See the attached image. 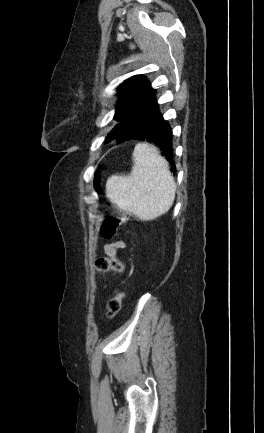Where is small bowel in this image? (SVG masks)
<instances>
[{"label":"small bowel","mask_w":264,"mask_h":433,"mask_svg":"<svg viewBox=\"0 0 264 433\" xmlns=\"http://www.w3.org/2000/svg\"><path fill=\"white\" fill-rule=\"evenodd\" d=\"M123 246L124 244L122 242H118L116 244H106L104 246V250L107 255H116L117 249Z\"/></svg>","instance_id":"c3829d8e"}]
</instances>
